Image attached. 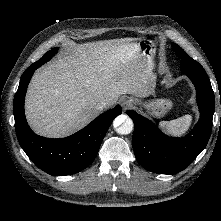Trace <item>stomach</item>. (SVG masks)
<instances>
[{"label":"stomach","mask_w":221,"mask_h":221,"mask_svg":"<svg viewBox=\"0 0 221 221\" xmlns=\"http://www.w3.org/2000/svg\"><path fill=\"white\" fill-rule=\"evenodd\" d=\"M137 45L140 49V53L142 54L143 58L146 60H151L153 62L157 51L156 44L149 39H140L138 40ZM144 107L150 112L152 116L162 117L171 109L172 102L168 99H155L146 102L144 104Z\"/></svg>","instance_id":"stomach-1"}]
</instances>
